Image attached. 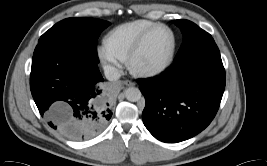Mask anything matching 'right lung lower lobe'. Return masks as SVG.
Returning a JSON list of instances; mask_svg holds the SVG:
<instances>
[{
    "label": "right lung lower lobe",
    "instance_id": "1",
    "mask_svg": "<svg viewBox=\"0 0 267 166\" xmlns=\"http://www.w3.org/2000/svg\"><path fill=\"white\" fill-rule=\"evenodd\" d=\"M97 63L72 47L39 42L35 48L30 88L49 126L74 140L95 136L112 116L105 105Z\"/></svg>",
    "mask_w": 267,
    "mask_h": 166
}]
</instances>
